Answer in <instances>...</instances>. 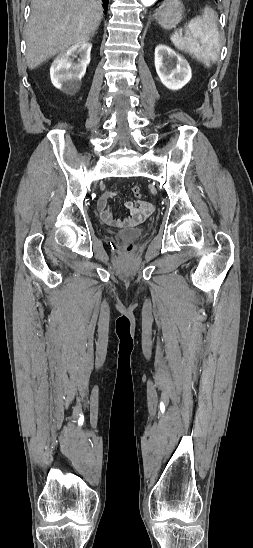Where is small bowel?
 I'll list each match as a JSON object with an SVG mask.
<instances>
[{
    "label": "small bowel",
    "mask_w": 253,
    "mask_h": 548,
    "mask_svg": "<svg viewBox=\"0 0 253 548\" xmlns=\"http://www.w3.org/2000/svg\"><path fill=\"white\" fill-rule=\"evenodd\" d=\"M117 194L114 190L104 192L97 201V210L101 220L110 226H136L145 221L153 212L154 205L149 201H132L125 202V207L129 211V216L124 219H115L109 207V199Z\"/></svg>",
    "instance_id": "small-bowel-1"
}]
</instances>
